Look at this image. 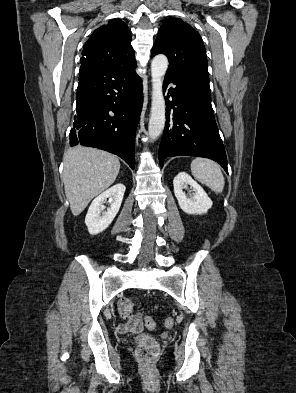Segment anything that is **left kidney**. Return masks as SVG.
I'll return each instance as SVG.
<instances>
[{
	"instance_id": "5707ae66",
	"label": "left kidney",
	"mask_w": 296,
	"mask_h": 393,
	"mask_svg": "<svg viewBox=\"0 0 296 393\" xmlns=\"http://www.w3.org/2000/svg\"><path fill=\"white\" fill-rule=\"evenodd\" d=\"M174 194L178 200L180 208L187 214H206L212 207V200L208 197L204 189L194 181L186 172H180L173 180ZM188 185L195 193L187 197L183 189Z\"/></svg>"
}]
</instances>
